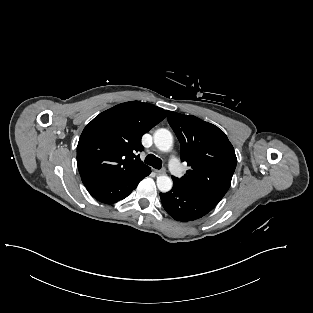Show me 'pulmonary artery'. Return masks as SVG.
I'll return each mask as SVG.
<instances>
[{
  "label": "pulmonary artery",
  "mask_w": 313,
  "mask_h": 313,
  "mask_svg": "<svg viewBox=\"0 0 313 313\" xmlns=\"http://www.w3.org/2000/svg\"><path fill=\"white\" fill-rule=\"evenodd\" d=\"M169 167L171 172L177 176L180 177L182 176V169L179 163V160L176 156H172L169 160Z\"/></svg>",
  "instance_id": "pulmonary-artery-1"
}]
</instances>
